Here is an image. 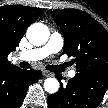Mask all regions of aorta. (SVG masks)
Returning a JSON list of instances; mask_svg holds the SVG:
<instances>
[{"mask_svg":"<svg viewBox=\"0 0 108 108\" xmlns=\"http://www.w3.org/2000/svg\"><path fill=\"white\" fill-rule=\"evenodd\" d=\"M27 39L36 46L44 45L49 39V29L45 24L33 23L27 29ZM44 89L50 94H54L59 89V82L56 78H47L44 81Z\"/></svg>","mask_w":108,"mask_h":108,"instance_id":"aorta-1","label":"aorta"}]
</instances>
